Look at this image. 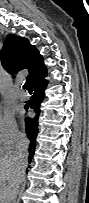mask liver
<instances>
[{"mask_svg": "<svg viewBox=\"0 0 89 203\" xmlns=\"http://www.w3.org/2000/svg\"><path fill=\"white\" fill-rule=\"evenodd\" d=\"M18 166L15 155L0 157V197L7 203L14 200L13 194L19 180Z\"/></svg>", "mask_w": 89, "mask_h": 203, "instance_id": "1", "label": "liver"}]
</instances>
